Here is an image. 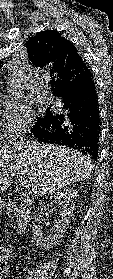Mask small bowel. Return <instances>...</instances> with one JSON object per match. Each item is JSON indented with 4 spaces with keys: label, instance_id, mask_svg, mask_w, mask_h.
I'll return each mask as SVG.
<instances>
[{
    "label": "small bowel",
    "instance_id": "obj_1",
    "mask_svg": "<svg viewBox=\"0 0 113 279\" xmlns=\"http://www.w3.org/2000/svg\"><path fill=\"white\" fill-rule=\"evenodd\" d=\"M4 271L0 270V279H2V275H3Z\"/></svg>",
    "mask_w": 113,
    "mask_h": 279
}]
</instances>
